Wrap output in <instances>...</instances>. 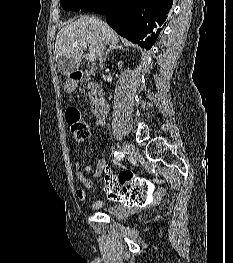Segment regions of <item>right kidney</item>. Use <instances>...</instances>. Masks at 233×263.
<instances>
[{
  "label": "right kidney",
  "mask_w": 233,
  "mask_h": 263,
  "mask_svg": "<svg viewBox=\"0 0 233 263\" xmlns=\"http://www.w3.org/2000/svg\"><path fill=\"white\" fill-rule=\"evenodd\" d=\"M122 64H123L122 61H119V62H118V67H119V69L122 68Z\"/></svg>",
  "instance_id": "ca27d5eb"
}]
</instances>
